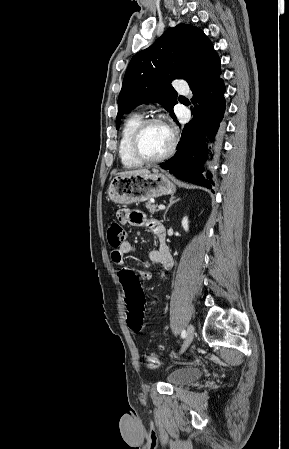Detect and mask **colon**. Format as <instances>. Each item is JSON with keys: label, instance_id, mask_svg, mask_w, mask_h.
I'll return each mask as SVG.
<instances>
[{"label": "colon", "instance_id": "5ec220e1", "mask_svg": "<svg viewBox=\"0 0 289 449\" xmlns=\"http://www.w3.org/2000/svg\"><path fill=\"white\" fill-rule=\"evenodd\" d=\"M125 238L126 231L124 227L116 221L110 222L107 228L109 245L113 248H118L124 243ZM118 279L126 292L129 327L136 333L142 332L144 328V294L138 276L135 275L132 268H119ZM159 348L162 349V346H159ZM143 361L149 368H155L159 365V360L154 353H145Z\"/></svg>", "mask_w": 289, "mask_h": 449}]
</instances>
